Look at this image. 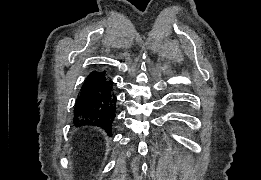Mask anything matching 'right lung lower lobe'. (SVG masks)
<instances>
[{
    "label": "right lung lower lobe",
    "mask_w": 261,
    "mask_h": 180,
    "mask_svg": "<svg viewBox=\"0 0 261 180\" xmlns=\"http://www.w3.org/2000/svg\"><path fill=\"white\" fill-rule=\"evenodd\" d=\"M117 98L105 72L93 71L84 81L74 106L75 125H91L110 133L116 117Z\"/></svg>",
    "instance_id": "98d812e1"
}]
</instances>
